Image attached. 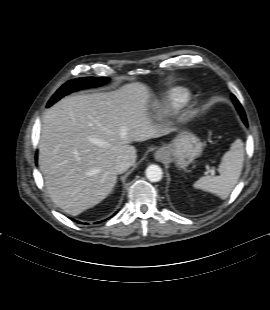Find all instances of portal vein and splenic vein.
Here are the masks:
<instances>
[{"instance_id":"portal-vein-and-splenic-vein-1","label":"portal vein and splenic vein","mask_w":270,"mask_h":310,"mask_svg":"<svg viewBox=\"0 0 270 310\" xmlns=\"http://www.w3.org/2000/svg\"><path fill=\"white\" fill-rule=\"evenodd\" d=\"M215 173V171L214 170H211V174L213 175Z\"/></svg>"}]
</instances>
